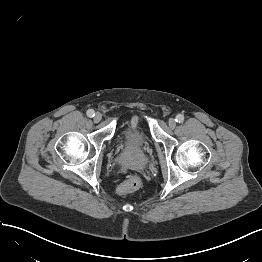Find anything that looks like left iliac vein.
<instances>
[{
	"mask_svg": "<svg viewBox=\"0 0 262 262\" xmlns=\"http://www.w3.org/2000/svg\"><path fill=\"white\" fill-rule=\"evenodd\" d=\"M168 125L171 129L175 128L176 127V121L175 119L171 118L169 119V122H168Z\"/></svg>",
	"mask_w": 262,
	"mask_h": 262,
	"instance_id": "left-iliac-vein-1",
	"label": "left iliac vein"
}]
</instances>
